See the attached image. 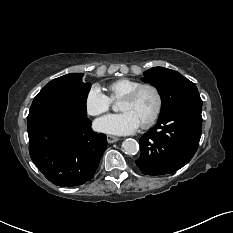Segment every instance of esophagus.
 <instances>
[{
  "instance_id": "obj_1",
  "label": "esophagus",
  "mask_w": 233,
  "mask_h": 233,
  "mask_svg": "<svg viewBox=\"0 0 233 233\" xmlns=\"http://www.w3.org/2000/svg\"><path fill=\"white\" fill-rule=\"evenodd\" d=\"M107 141H108V143H115V142L119 141V138L116 136H113V135H108Z\"/></svg>"
}]
</instances>
